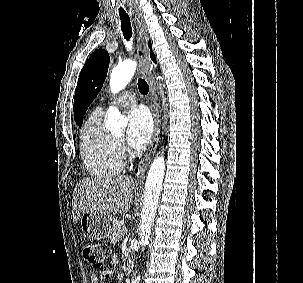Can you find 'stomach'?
Here are the masks:
<instances>
[{"label": "stomach", "mask_w": 303, "mask_h": 283, "mask_svg": "<svg viewBox=\"0 0 303 283\" xmlns=\"http://www.w3.org/2000/svg\"><path fill=\"white\" fill-rule=\"evenodd\" d=\"M113 217L110 214L85 212L80 216L81 230L84 237L103 240L110 236Z\"/></svg>", "instance_id": "0dacf381"}]
</instances>
